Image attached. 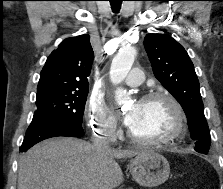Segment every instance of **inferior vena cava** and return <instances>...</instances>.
<instances>
[{"instance_id":"602c4592","label":"inferior vena cava","mask_w":223,"mask_h":189,"mask_svg":"<svg viewBox=\"0 0 223 189\" xmlns=\"http://www.w3.org/2000/svg\"><path fill=\"white\" fill-rule=\"evenodd\" d=\"M92 141H93V146L96 148L98 152L107 150L109 148L107 137L94 135Z\"/></svg>"}]
</instances>
